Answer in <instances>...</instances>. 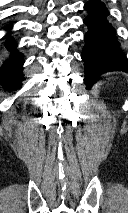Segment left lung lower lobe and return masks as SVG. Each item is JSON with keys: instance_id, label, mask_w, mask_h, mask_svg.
Segmentation results:
<instances>
[{"instance_id": "0a47b994", "label": "left lung lower lobe", "mask_w": 128, "mask_h": 213, "mask_svg": "<svg viewBox=\"0 0 128 213\" xmlns=\"http://www.w3.org/2000/svg\"><path fill=\"white\" fill-rule=\"evenodd\" d=\"M84 9L89 15L84 23L89 30L85 34V47L82 60L85 68V84L93 85V80L108 71H128V60L119 47L115 30L107 21L109 15L105 4L100 0H89Z\"/></svg>"}]
</instances>
